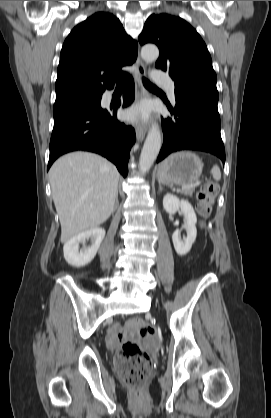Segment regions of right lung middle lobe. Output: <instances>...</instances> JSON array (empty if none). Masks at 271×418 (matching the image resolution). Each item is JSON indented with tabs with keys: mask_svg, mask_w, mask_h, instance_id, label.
Listing matches in <instances>:
<instances>
[{
	"mask_svg": "<svg viewBox=\"0 0 271 418\" xmlns=\"http://www.w3.org/2000/svg\"><path fill=\"white\" fill-rule=\"evenodd\" d=\"M101 101V96L85 97L62 101L54 104L53 115L56 116L64 111L75 109L84 106L98 104Z\"/></svg>",
	"mask_w": 271,
	"mask_h": 418,
	"instance_id": "obj_1",
	"label": "right lung middle lobe"
}]
</instances>
